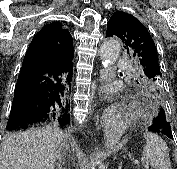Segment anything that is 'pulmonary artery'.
<instances>
[{
	"mask_svg": "<svg viewBox=\"0 0 177 169\" xmlns=\"http://www.w3.org/2000/svg\"><path fill=\"white\" fill-rule=\"evenodd\" d=\"M118 65L121 66V67H126L127 66V62L123 61V60H120L118 62Z\"/></svg>",
	"mask_w": 177,
	"mask_h": 169,
	"instance_id": "e3ab8cb5",
	"label": "pulmonary artery"
}]
</instances>
